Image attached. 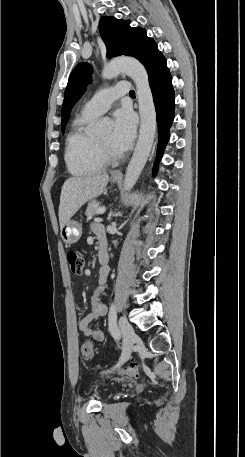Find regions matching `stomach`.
Returning a JSON list of instances; mask_svg holds the SVG:
<instances>
[{
  "label": "stomach",
  "mask_w": 245,
  "mask_h": 457,
  "mask_svg": "<svg viewBox=\"0 0 245 457\" xmlns=\"http://www.w3.org/2000/svg\"><path fill=\"white\" fill-rule=\"evenodd\" d=\"M112 180L113 182H119L120 178H112ZM60 235L66 245L77 243L82 235L80 222L78 220H67L62 226Z\"/></svg>",
  "instance_id": "0dacf381"
}]
</instances>
